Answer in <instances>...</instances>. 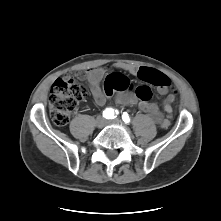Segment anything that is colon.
I'll list each match as a JSON object with an SVG mask.
<instances>
[{
  "instance_id": "1",
  "label": "colon",
  "mask_w": 221,
  "mask_h": 221,
  "mask_svg": "<svg viewBox=\"0 0 221 221\" xmlns=\"http://www.w3.org/2000/svg\"><path fill=\"white\" fill-rule=\"evenodd\" d=\"M137 76L143 82L157 87H168L171 83L165 74L147 67L140 68ZM124 87L114 88L106 83L105 91L111 95L114 90ZM135 94L139 99L148 101L152 97V89L150 86L143 84L136 87ZM86 96L87 89L79 83L76 75L67 74L57 79L52 85L49 97V109L53 122L58 126H65L71 113ZM167 126V124L164 125V127Z\"/></svg>"
}]
</instances>
